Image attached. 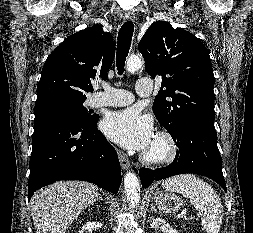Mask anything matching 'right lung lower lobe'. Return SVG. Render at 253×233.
I'll list each match as a JSON object with an SVG mask.
<instances>
[{
	"mask_svg": "<svg viewBox=\"0 0 253 233\" xmlns=\"http://www.w3.org/2000/svg\"><path fill=\"white\" fill-rule=\"evenodd\" d=\"M99 116L87 123L62 117L34 122L28 200L58 180H81L116 194L121 184L117 152L97 129Z\"/></svg>",
	"mask_w": 253,
	"mask_h": 233,
	"instance_id": "right-lung-lower-lobe-1",
	"label": "right lung lower lobe"
}]
</instances>
